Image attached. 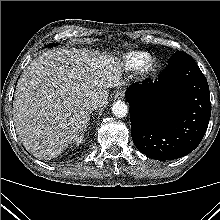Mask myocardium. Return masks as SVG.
<instances>
[{
	"instance_id": "f54148a6",
	"label": "myocardium",
	"mask_w": 220,
	"mask_h": 220,
	"mask_svg": "<svg viewBox=\"0 0 220 220\" xmlns=\"http://www.w3.org/2000/svg\"><path fill=\"white\" fill-rule=\"evenodd\" d=\"M155 60L151 56H146L138 66V74L147 76L154 68Z\"/></svg>"
}]
</instances>
